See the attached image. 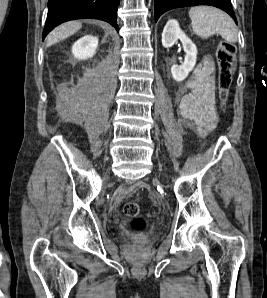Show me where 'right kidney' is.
<instances>
[{
	"instance_id": "right-kidney-1",
	"label": "right kidney",
	"mask_w": 267,
	"mask_h": 298,
	"mask_svg": "<svg viewBox=\"0 0 267 298\" xmlns=\"http://www.w3.org/2000/svg\"><path fill=\"white\" fill-rule=\"evenodd\" d=\"M98 38L92 35H85L77 40L72 46V53L79 60L91 58L96 53Z\"/></svg>"
}]
</instances>
